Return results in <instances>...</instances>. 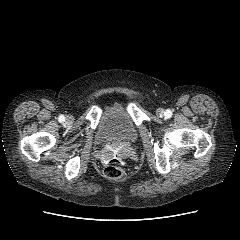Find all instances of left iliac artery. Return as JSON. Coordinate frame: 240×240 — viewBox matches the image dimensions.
<instances>
[{
  "instance_id": "1",
  "label": "left iliac artery",
  "mask_w": 240,
  "mask_h": 240,
  "mask_svg": "<svg viewBox=\"0 0 240 240\" xmlns=\"http://www.w3.org/2000/svg\"><path fill=\"white\" fill-rule=\"evenodd\" d=\"M164 115H165L167 118H169V117L172 116V111L168 109V110L165 111Z\"/></svg>"
}]
</instances>
